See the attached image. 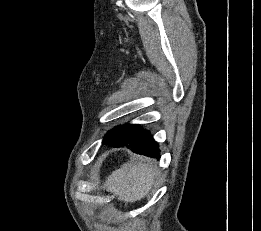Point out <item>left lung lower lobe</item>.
Listing matches in <instances>:
<instances>
[{
    "mask_svg": "<svg viewBox=\"0 0 261 231\" xmlns=\"http://www.w3.org/2000/svg\"><path fill=\"white\" fill-rule=\"evenodd\" d=\"M108 145L111 147L127 146L130 147L133 152H136L138 154L146 155L151 158H160V150L158 148V144L155 142L151 134L141 140L134 138H125L117 142H112Z\"/></svg>",
    "mask_w": 261,
    "mask_h": 231,
    "instance_id": "0a47b994",
    "label": "left lung lower lobe"
}]
</instances>
